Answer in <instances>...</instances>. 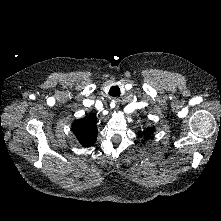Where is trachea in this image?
Listing matches in <instances>:
<instances>
[{
    "instance_id": "trachea-1",
    "label": "trachea",
    "mask_w": 221,
    "mask_h": 221,
    "mask_svg": "<svg viewBox=\"0 0 221 221\" xmlns=\"http://www.w3.org/2000/svg\"><path fill=\"white\" fill-rule=\"evenodd\" d=\"M120 94H121V91H120V88L118 86H112L109 90V95L110 96L117 97V96H120Z\"/></svg>"
}]
</instances>
